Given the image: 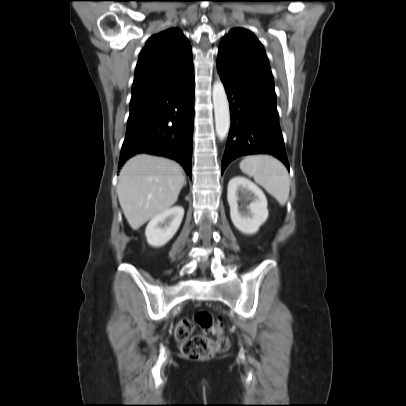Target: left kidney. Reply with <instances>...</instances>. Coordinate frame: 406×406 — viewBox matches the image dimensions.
Masks as SVG:
<instances>
[{"label":"left kidney","instance_id":"obj_1","mask_svg":"<svg viewBox=\"0 0 406 406\" xmlns=\"http://www.w3.org/2000/svg\"><path fill=\"white\" fill-rule=\"evenodd\" d=\"M252 195V196H251ZM227 199L234 226L244 234H255L268 218L267 199L263 191L245 177H233L228 183ZM238 201L249 205L239 207Z\"/></svg>","mask_w":406,"mask_h":406}]
</instances>
